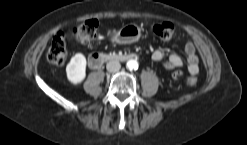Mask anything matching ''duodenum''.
Masks as SVG:
<instances>
[{
    "label": "duodenum",
    "mask_w": 247,
    "mask_h": 145,
    "mask_svg": "<svg viewBox=\"0 0 247 145\" xmlns=\"http://www.w3.org/2000/svg\"><path fill=\"white\" fill-rule=\"evenodd\" d=\"M136 57V54L105 55L102 53H92L88 57V64L92 69H99L108 60L124 62Z\"/></svg>",
    "instance_id": "duodenum-1"
}]
</instances>
